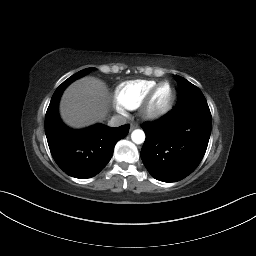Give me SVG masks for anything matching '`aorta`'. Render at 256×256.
I'll return each instance as SVG.
<instances>
[{
    "label": "aorta",
    "mask_w": 256,
    "mask_h": 256,
    "mask_svg": "<svg viewBox=\"0 0 256 256\" xmlns=\"http://www.w3.org/2000/svg\"><path fill=\"white\" fill-rule=\"evenodd\" d=\"M131 139L136 144H142L145 141V133L140 129H136L131 133Z\"/></svg>",
    "instance_id": "obj_1"
}]
</instances>
